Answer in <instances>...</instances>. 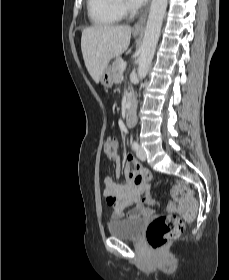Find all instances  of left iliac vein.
<instances>
[{
  "instance_id": "left-iliac-vein-1",
  "label": "left iliac vein",
  "mask_w": 229,
  "mask_h": 280,
  "mask_svg": "<svg viewBox=\"0 0 229 280\" xmlns=\"http://www.w3.org/2000/svg\"><path fill=\"white\" fill-rule=\"evenodd\" d=\"M137 157L141 160V161H145L146 160V153L143 147L139 146V148L137 149Z\"/></svg>"
}]
</instances>
